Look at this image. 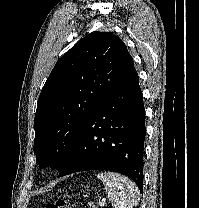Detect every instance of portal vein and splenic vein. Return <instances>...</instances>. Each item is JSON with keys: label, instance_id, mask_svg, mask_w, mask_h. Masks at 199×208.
Masks as SVG:
<instances>
[{"label": "portal vein and splenic vein", "instance_id": "18ae733b", "mask_svg": "<svg viewBox=\"0 0 199 208\" xmlns=\"http://www.w3.org/2000/svg\"><path fill=\"white\" fill-rule=\"evenodd\" d=\"M99 205L101 207H104L105 206V199H102L100 202H99Z\"/></svg>", "mask_w": 199, "mask_h": 208}]
</instances>
